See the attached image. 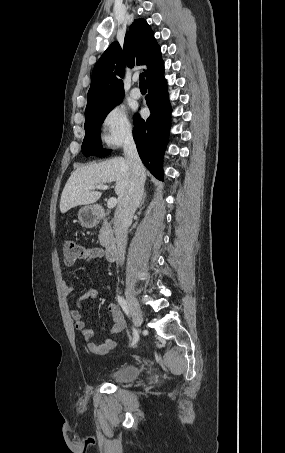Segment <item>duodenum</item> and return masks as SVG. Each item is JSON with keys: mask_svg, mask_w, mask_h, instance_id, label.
Returning a JSON list of instances; mask_svg holds the SVG:
<instances>
[{"mask_svg": "<svg viewBox=\"0 0 285 453\" xmlns=\"http://www.w3.org/2000/svg\"><path fill=\"white\" fill-rule=\"evenodd\" d=\"M97 215L100 218H104L106 216L104 210L98 209ZM104 255L107 261L112 262L115 260L117 255V247L115 240L113 238H109L104 244Z\"/></svg>", "mask_w": 285, "mask_h": 453, "instance_id": "duodenum-1", "label": "duodenum"}]
</instances>
